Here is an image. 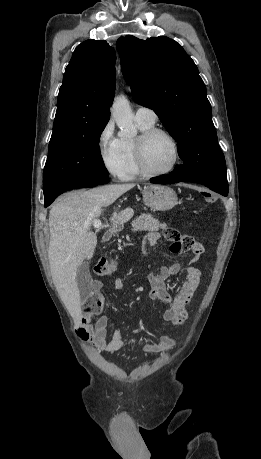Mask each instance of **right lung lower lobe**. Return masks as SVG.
<instances>
[{"instance_id": "98d812e1", "label": "right lung lower lobe", "mask_w": 261, "mask_h": 459, "mask_svg": "<svg viewBox=\"0 0 261 459\" xmlns=\"http://www.w3.org/2000/svg\"><path fill=\"white\" fill-rule=\"evenodd\" d=\"M108 182H109V180L107 178H102V179H97V180H89V181H82V182L74 183L72 185H69V186L63 188L62 190H60L59 192L55 193L54 195H51V196L45 198L44 206L45 207L49 206L55 200L56 197H58L60 194H62L63 192H65L67 190L77 189V188H88V187H93V186L105 184V183H108Z\"/></svg>"}]
</instances>
